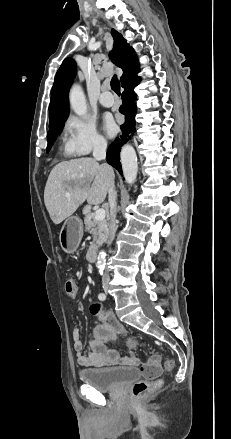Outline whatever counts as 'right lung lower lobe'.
Returning <instances> with one entry per match:
<instances>
[{"label":"right lung lower lobe","mask_w":231,"mask_h":439,"mask_svg":"<svg viewBox=\"0 0 231 439\" xmlns=\"http://www.w3.org/2000/svg\"><path fill=\"white\" fill-rule=\"evenodd\" d=\"M140 83V79H134L131 82L123 86L124 92L122 93L123 105L120 107V112L126 115V124L121 126L122 135L117 138L108 148L106 160L118 172L122 175V168L119 161V153L121 147L130 139V134L135 132V113L137 112V107L135 104L136 94L134 92L135 86Z\"/></svg>","instance_id":"98d812e1"}]
</instances>
